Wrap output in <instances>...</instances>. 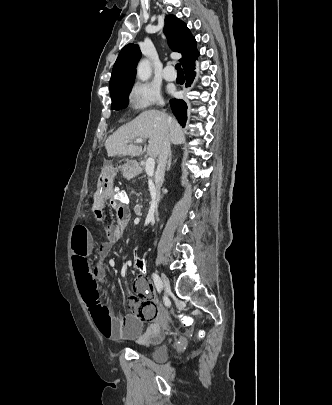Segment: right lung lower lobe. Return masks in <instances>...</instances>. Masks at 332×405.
<instances>
[{
  "instance_id": "1",
  "label": "right lung lower lobe",
  "mask_w": 332,
  "mask_h": 405,
  "mask_svg": "<svg viewBox=\"0 0 332 405\" xmlns=\"http://www.w3.org/2000/svg\"><path fill=\"white\" fill-rule=\"evenodd\" d=\"M186 77V86H189L195 77L194 61L183 67ZM171 109L176 116L178 122L185 126L187 120V104L183 100L172 99L170 100Z\"/></svg>"
}]
</instances>
